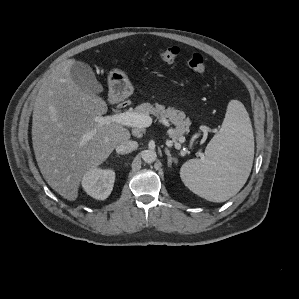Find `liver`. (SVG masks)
<instances>
[{"label": "liver", "mask_w": 299, "mask_h": 299, "mask_svg": "<svg viewBox=\"0 0 299 299\" xmlns=\"http://www.w3.org/2000/svg\"><path fill=\"white\" fill-rule=\"evenodd\" d=\"M74 62H61L44 80L32 120L33 149L40 172L48 185L69 201L77 199L84 174L102 164L131 136L119 124L98 126L96 119L107 112V104L72 81ZM89 133L91 138L80 145Z\"/></svg>", "instance_id": "liver-1"}]
</instances>
